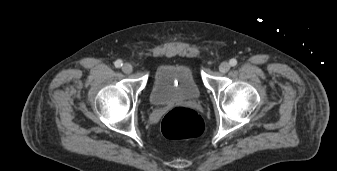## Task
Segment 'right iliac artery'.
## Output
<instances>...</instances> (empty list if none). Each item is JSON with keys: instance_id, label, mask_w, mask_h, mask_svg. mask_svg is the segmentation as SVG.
<instances>
[{"instance_id": "right-iliac-artery-1", "label": "right iliac artery", "mask_w": 337, "mask_h": 171, "mask_svg": "<svg viewBox=\"0 0 337 171\" xmlns=\"http://www.w3.org/2000/svg\"><path fill=\"white\" fill-rule=\"evenodd\" d=\"M121 66H122V61L121 60H117L115 62V67L120 68Z\"/></svg>"}]
</instances>
